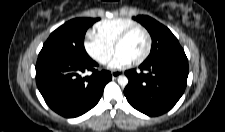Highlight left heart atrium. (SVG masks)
Segmentation results:
<instances>
[{
    "label": "left heart atrium",
    "mask_w": 225,
    "mask_h": 132,
    "mask_svg": "<svg viewBox=\"0 0 225 132\" xmlns=\"http://www.w3.org/2000/svg\"><path fill=\"white\" fill-rule=\"evenodd\" d=\"M131 60L124 55L123 53L117 52L109 64L111 69H121L128 64H130Z\"/></svg>",
    "instance_id": "39dd6f15"
}]
</instances>
